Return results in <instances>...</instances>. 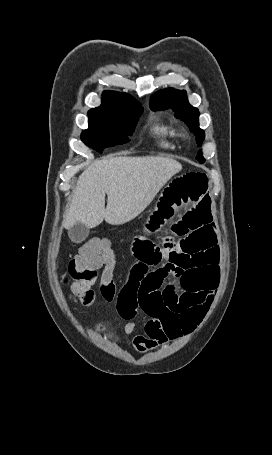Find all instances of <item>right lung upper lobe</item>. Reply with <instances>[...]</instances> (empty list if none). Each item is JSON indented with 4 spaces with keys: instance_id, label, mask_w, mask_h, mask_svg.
<instances>
[{
    "instance_id": "1",
    "label": "right lung upper lobe",
    "mask_w": 272,
    "mask_h": 455,
    "mask_svg": "<svg viewBox=\"0 0 272 455\" xmlns=\"http://www.w3.org/2000/svg\"><path fill=\"white\" fill-rule=\"evenodd\" d=\"M137 102L133 97L126 93H119L116 91L103 92L102 104L93 108L90 111L94 112H111L117 111L128 105Z\"/></svg>"
}]
</instances>
